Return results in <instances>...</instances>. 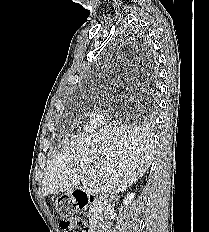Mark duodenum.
Returning <instances> with one entry per match:
<instances>
[{
  "label": "duodenum",
  "instance_id": "obj_1",
  "mask_svg": "<svg viewBox=\"0 0 209 232\" xmlns=\"http://www.w3.org/2000/svg\"><path fill=\"white\" fill-rule=\"evenodd\" d=\"M74 197L77 198V205L79 208H86L88 206H92L94 208L96 217L93 221L92 231L105 232L106 221L100 214L105 208V201L87 193L82 188H78L74 191Z\"/></svg>",
  "mask_w": 209,
  "mask_h": 232
}]
</instances>
